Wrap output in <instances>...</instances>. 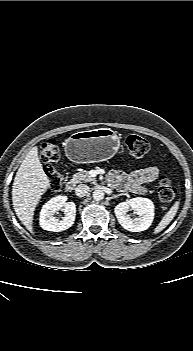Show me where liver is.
<instances>
[{
    "instance_id": "obj_1",
    "label": "liver",
    "mask_w": 193,
    "mask_h": 351,
    "mask_svg": "<svg viewBox=\"0 0 193 351\" xmlns=\"http://www.w3.org/2000/svg\"><path fill=\"white\" fill-rule=\"evenodd\" d=\"M50 187L45 174L38 148L33 147L21 163L12 186V202L17 217L22 224L33 232V215L41 196Z\"/></svg>"
}]
</instances>
